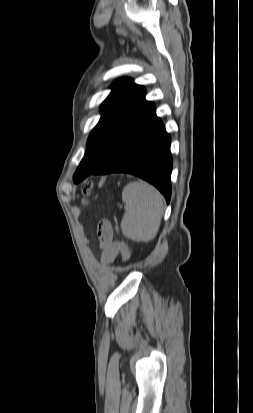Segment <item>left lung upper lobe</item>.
I'll use <instances>...</instances> for the list:
<instances>
[{
  "mask_svg": "<svg viewBox=\"0 0 253 413\" xmlns=\"http://www.w3.org/2000/svg\"><path fill=\"white\" fill-rule=\"evenodd\" d=\"M111 88L101 105L102 117L89 135L85 157L74 174L76 183L109 160L120 140L122 122L136 118L151 105L145 100V89L129 78L116 80Z\"/></svg>",
  "mask_w": 253,
  "mask_h": 413,
  "instance_id": "5c2ea615",
  "label": "left lung upper lobe"
}]
</instances>
